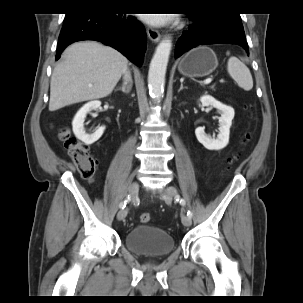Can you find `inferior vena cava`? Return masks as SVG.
<instances>
[{"label": "inferior vena cava", "instance_id": "602c4592", "mask_svg": "<svg viewBox=\"0 0 303 303\" xmlns=\"http://www.w3.org/2000/svg\"><path fill=\"white\" fill-rule=\"evenodd\" d=\"M125 79H130V73L127 70V67L124 69Z\"/></svg>", "mask_w": 303, "mask_h": 303}]
</instances>
